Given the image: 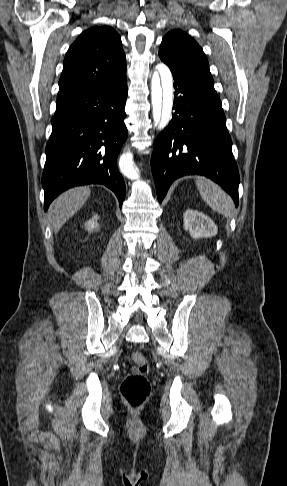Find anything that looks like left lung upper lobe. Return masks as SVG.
<instances>
[{
	"label": "left lung upper lobe",
	"mask_w": 287,
	"mask_h": 486,
	"mask_svg": "<svg viewBox=\"0 0 287 486\" xmlns=\"http://www.w3.org/2000/svg\"><path fill=\"white\" fill-rule=\"evenodd\" d=\"M159 57L172 70L186 75L216 94L208 60L201 47L186 32H168L162 40Z\"/></svg>",
	"instance_id": "5c2ea615"
}]
</instances>
